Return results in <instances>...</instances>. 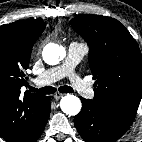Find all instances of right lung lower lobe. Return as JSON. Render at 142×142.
Here are the masks:
<instances>
[{"label":"right lung lower lobe","instance_id":"right-lung-lower-lobe-1","mask_svg":"<svg viewBox=\"0 0 142 142\" xmlns=\"http://www.w3.org/2000/svg\"><path fill=\"white\" fill-rule=\"evenodd\" d=\"M50 99L47 97V104L44 113L42 114L41 118L37 121L34 129L32 132L21 142H35L42 134L44 127L48 121L49 114H50Z\"/></svg>","mask_w":142,"mask_h":142}]
</instances>
